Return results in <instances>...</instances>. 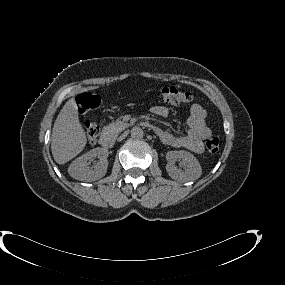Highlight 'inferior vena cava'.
Masks as SVG:
<instances>
[{
    "mask_svg": "<svg viewBox=\"0 0 285 285\" xmlns=\"http://www.w3.org/2000/svg\"><path fill=\"white\" fill-rule=\"evenodd\" d=\"M118 141H119V142H124V141H125V135H124L123 133H120V134L118 135Z\"/></svg>",
    "mask_w": 285,
    "mask_h": 285,
    "instance_id": "602c4592",
    "label": "inferior vena cava"
}]
</instances>
